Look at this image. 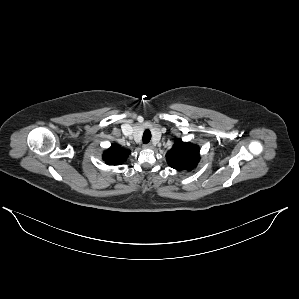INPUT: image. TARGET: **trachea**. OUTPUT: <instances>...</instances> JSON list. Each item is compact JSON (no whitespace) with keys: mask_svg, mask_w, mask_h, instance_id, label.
Listing matches in <instances>:
<instances>
[{"mask_svg":"<svg viewBox=\"0 0 299 299\" xmlns=\"http://www.w3.org/2000/svg\"><path fill=\"white\" fill-rule=\"evenodd\" d=\"M151 140V132L150 130L146 129L143 133V143H149V141Z\"/></svg>","mask_w":299,"mask_h":299,"instance_id":"obj_1","label":"trachea"}]
</instances>
